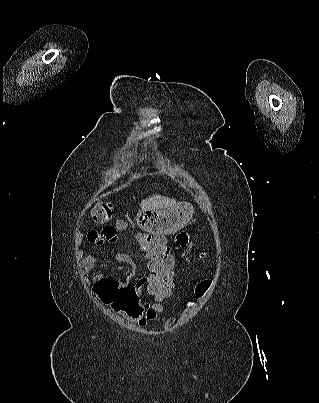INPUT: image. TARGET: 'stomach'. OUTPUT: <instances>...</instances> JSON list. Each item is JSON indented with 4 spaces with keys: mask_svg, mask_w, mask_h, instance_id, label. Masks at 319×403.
<instances>
[{
    "mask_svg": "<svg viewBox=\"0 0 319 403\" xmlns=\"http://www.w3.org/2000/svg\"><path fill=\"white\" fill-rule=\"evenodd\" d=\"M190 204L181 203L164 211L136 210L137 227L144 234H174L184 228L193 216Z\"/></svg>",
    "mask_w": 319,
    "mask_h": 403,
    "instance_id": "1",
    "label": "stomach"
}]
</instances>
